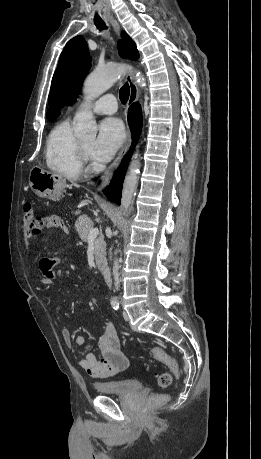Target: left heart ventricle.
<instances>
[{
  "label": "left heart ventricle",
  "mask_w": 261,
  "mask_h": 459,
  "mask_svg": "<svg viewBox=\"0 0 261 459\" xmlns=\"http://www.w3.org/2000/svg\"><path fill=\"white\" fill-rule=\"evenodd\" d=\"M81 143L84 145V147L90 152L92 150L94 140L93 139H87L81 141Z\"/></svg>",
  "instance_id": "obj_1"
}]
</instances>
